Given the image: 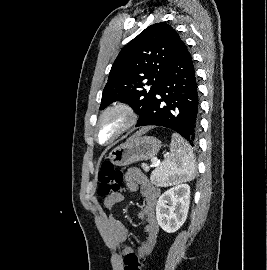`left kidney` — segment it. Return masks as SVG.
I'll return each instance as SVG.
<instances>
[{
	"instance_id": "obj_1",
	"label": "left kidney",
	"mask_w": 267,
	"mask_h": 270,
	"mask_svg": "<svg viewBox=\"0 0 267 270\" xmlns=\"http://www.w3.org/2000/svg\"><path fill=\"white\" fill-rule=\"evenodd\" d=\"M190 204L188 184L176 185L165 191L156 205V218L167 233L176 232L185 222Z\"/></svg>"
}]
</instances>
